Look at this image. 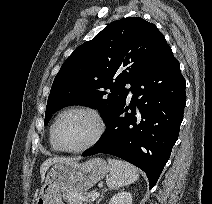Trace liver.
<instances>
[{
  "mask_svg": "<svg viewBox=\"0 0 212 204\" xmlns=\"http://www.w3.org/2000/svg\"><path fill=\"white\" fill-rule=\"evenodd\" d=\"M66 161H71V159H64V158H49L45 160L41 167H40V174H41V180L43 181L45 178V173L49 169V167L55 163H60V162H66Z\"/></svg>",
  "mask_w": 212,
  "mask_h": 204,
  "instance_id": "liver-1",
  "label": "liver"
}]
</instances>
